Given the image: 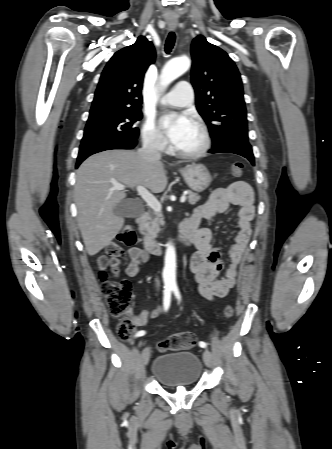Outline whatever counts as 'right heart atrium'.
Listing matches in <instances>:
<instances>
[{
  "instance_id": "obj_1",
  "label": "right heart atrium",
  "mask_w": 332,
  "mask_h": 449,
  "mask_svg": "<svg viewBox=\"0 0 332 449\" xmlns=\"http://www.w3.org/2000/svg\"><path fill=\"white\" fill-rule=\"evenodd\" d=\"M142 138L144 143L157 151L164 152L168 148V142L165 136L157 128L153 119L145 120L142 127Z\"/></svg>"
}]
</instances>
